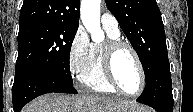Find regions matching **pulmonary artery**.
Instances as JSON below:
<instances>
[{"label": "pulmonary artery", "instance_id": "1", "mask_svg": "<svg viewBox=\"0 0 193 112\" xmlns=\"http://www.w3.org/2000/svg\"><path fill=\"white\" fill-rule=\"evenodd\" d=\"M100 21L104 29L113 33H120L118 21L111 13H103Z\"/></svg>", "mask_w": 193, "mask_h": 112}]
</instances>
